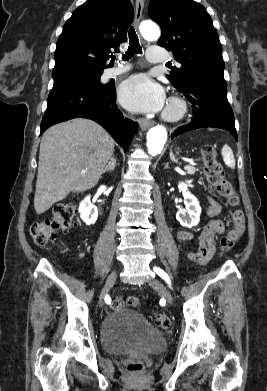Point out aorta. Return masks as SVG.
Listing matches in <instances>:
<instances>
[{"label": "aorta", "mask_w": 267, "mask_h": 391, "mask_svg": "<svg viewBox=\"0 0 267 391\" xmlns=\"http://www.w3.org/2000/svg\"><path fill=\"white\" fill-rule=\"evenodd\" d=\"M140 32L147 40H158L160 30L158 26L151 22L145 21L140 25ZM167 140V130L162 125H157L151 128L147 133V148L150 155L159 154Z\"/></svg>", "instance_id": "aorta-1"}]
</instances>
